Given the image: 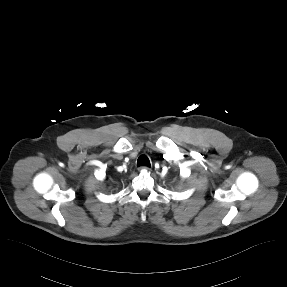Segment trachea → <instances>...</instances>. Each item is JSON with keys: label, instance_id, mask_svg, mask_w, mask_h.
<instances>
[{"label": "trachea", "instance_id": "obj_1", "mask_svg": "<svg viewBox=\"0 0 287 287\" xmlns=\"http://www.w3.org/2000/svg\"><path fill=\"white\" fill-rule=\"evenodd\" d=\"M137 166H148L150 167V161L147 156L141 155L137 160Z\"/></svg>", "mask_w": 287, "mask_h": 287}]
</instances>
